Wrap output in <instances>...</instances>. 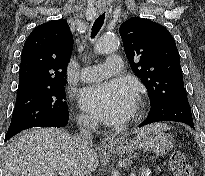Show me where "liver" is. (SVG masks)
<instances>
[{
  "mask_svg": "<svg viewBox=\"0 0 205 176\" xmlns=\"http://www.w3.org/2000/svg\"><path fill=\"white\" fill-rule=\"evenodd\" d=\"M167 128V127H166ZM64 130L39 128L12 138L5 148L4 176H79L95 171V150L79 153Z\"/></svg>",
  "mask_w": 205,
  "mask_h": 176,
  "instance_id": "6515ba94",
  "label": "liver"
}]
</instances>
